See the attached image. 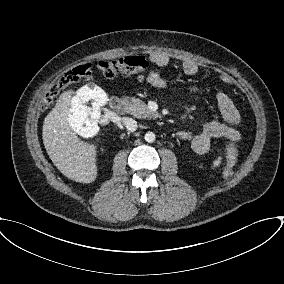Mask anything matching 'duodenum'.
Wrapping results in <instances>:
<instances>
[{
	"label": "duodenum",
	"instance_id": "1",
	"mask_svg": "<svg viewBox=\"0 0 284 284\" xmlns=\"http://www.w3.org/2000/svg\"><path fill=\"white\" fill-rule=\"evenodd\" d=\"M109 107L117 114L123 113L125 110L124 102L119 97H112L109 101Z\"/></svg>",
	"mask_w": 284,
	"mask_h": 284
}]
</instances>
